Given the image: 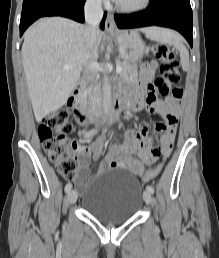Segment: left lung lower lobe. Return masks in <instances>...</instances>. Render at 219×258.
<instances>
[{"mask_svg":"<svg viewBox=\"0 0 219 258\" xmlns=\"http://www.w3.org/2000/svg\"><path fill=\"white\" fill-rule=\"evenodd\" d=\"M121 29L163 26L179 31L193 46L192 9L189 0H151L148 9L134 14L114 16Z\"/></svg>","mask_w":219,"mask_h":258,"instance_id":"left-lung-lower-lobe-1","label":"left lung lower lobe"}]
</instances>
